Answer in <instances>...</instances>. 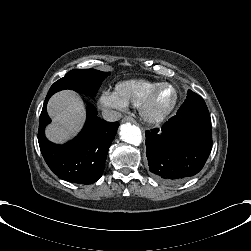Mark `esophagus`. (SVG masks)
Segmentation results:
<instances>
[{
    "instance_id": "esophagus-1",
    "label": "esophagus",
    "mask_w": 251,
    "mask_h": 251,
    "mask_svg": "<svg viewBox=\"0 0 251 251\" xmlns=\"http://www.w3.org/2000/svg\"><path fill=\"white\" fill-rule=\"evenodd\" d=\"M122 123H136L135 119L131 116H124Z\"/></svg>"
}]
</instances>
